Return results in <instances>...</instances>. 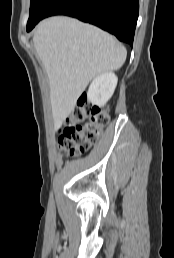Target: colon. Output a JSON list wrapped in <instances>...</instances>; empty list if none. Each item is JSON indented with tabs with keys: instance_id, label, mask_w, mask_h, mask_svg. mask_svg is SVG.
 <instances>
[{
	"instance_id": "colon-1",
	"label": "colon",
	"mask_w": 174,
	"mask_h": 258,
	"mask_svg": "<svg viewBox=\"0 0 174 258\" xmlns=\"http://www.w3.org/2000/svg\"><path fill=\"white\" fill-rule=\"evenodd\" d=\"M108 122V109L90 105L82 95L60 128L58 145L68 156H80L96 143Z\"/></svg>"
}]
</instances>
